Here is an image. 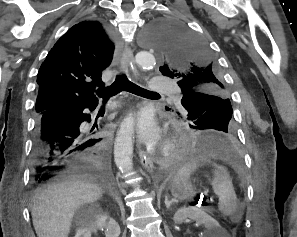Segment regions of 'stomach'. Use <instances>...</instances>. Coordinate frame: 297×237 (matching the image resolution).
Here are the masks:
<instances>
[{
  "label": "stomach",
  "mask_w": 297,
  "mask_h": 237,
  "mask_svg": "<svg viewBox=\"0 0 297 237\" xmlns=\"http://www.w3.org/2000/svg\"><path fill=\"white\" fill-rule=\"evenodd\" d=\"M170 191L175 200H186L195 194L196 189L189 178H181L173 180Z\"/></svg>",
  "instance_id": "stomach-1"
}]
</instances>
